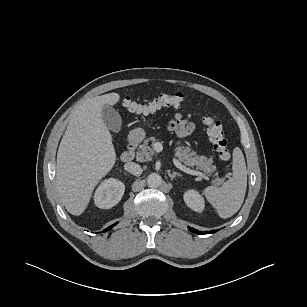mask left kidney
<instances>
[{
	"instance_id": "5707ae66",
	"label": "left kidney",
	"mask_w": 307,
	"mask_h": 307,
	"mask_svg": "<svg viewBox=\"0 0 307 307\" xmlns=\"http://www.w3.org/2000/svg\"><path fill=\"white\" fill-rule=\"evenodd\" d=\"M186 205L196 212H202L205 207V202L202 196L196 190H188L184 194Z\"/></svg>"
}]
</instances>
